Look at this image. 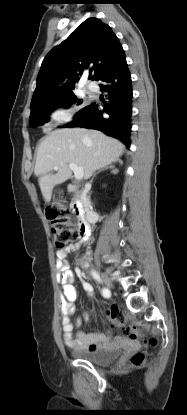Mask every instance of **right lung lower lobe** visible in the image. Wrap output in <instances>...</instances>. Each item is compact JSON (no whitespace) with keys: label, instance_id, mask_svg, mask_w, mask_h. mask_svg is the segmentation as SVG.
Instances as JSON below:
<instances>
[{"label":"right lung lower lobe","instance_id":"obj_1","mask_svg":"<svg viewBox=\"0 0 187 415\" xmlns=\"http://www.w3.org/2000/svg\"><path fill=\"white\" fill-rule=\"evenodd\" d=\"M95 80L100 81L101 91L108 93V101H104L103 110L99 109L98 103H91L64 127L96 129L129 146L132 88L124 51Z\"/></svg>","mask_w":187,"mask_h":415}]
</instances>
